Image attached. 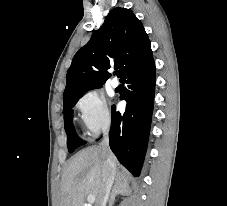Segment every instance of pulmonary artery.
Listing matches in <instances>:
<instances>
[{
  "label": "pulmonary artery",
  "instance_id": "e3ab8cb5",
  "mask_svg": "<svg viewBox=\"0 0 227 206\" xmlns=\"http://www.w3.org/2000/svg\"><path fill=\"white\" fill-rule=\"evenodd\" d=\"M110 84L113 88H117L119 86V81L116 78H112Z\"/></svg>",
  "mask_w": 227,
  "mask_h": 206
}]
</instances>
